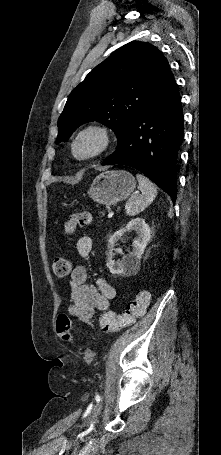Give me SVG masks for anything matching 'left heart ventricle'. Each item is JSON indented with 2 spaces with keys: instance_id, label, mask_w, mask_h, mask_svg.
Masks as SVG:
<instances>
[{
  "instance_id": "1",
  "label": "left heart ventricle",
  "mask_w": 221,
  "mask_h": 455,
  "mask_svg": "<svg viewBox=\"0 0 221 455\" xmlns=\"http://www.w3.org/2000/svg\"><path fill=\"white\" fill-rule=\"evenodd\" d=\"M96 144L97 142L94 138H85L79 143L77 152L79 155H86L95 149Z\"/></svg>"
}]
</instances>
